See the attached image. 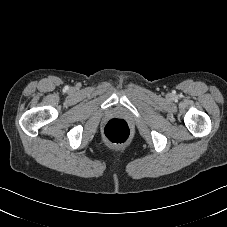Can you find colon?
I'll use <instances>...</instances> for the list:
<instances>
[{
    "label": "colon",
    "mask_w": 227,
    "mask_h": 227,
    "mask_svg": "<svg viewBox=\"0 0 227 227\" xmlns=\"http://www.w3.org/2000/svg\"><path fill=\"white\" fill-rule=\"evenodd\" d=\"M103 134L109 142L123 143L129 140L131 132L126 121L122 119H111L106 123Z\"/></svg>",
    "instance_id": "1"
}]
</instances>
